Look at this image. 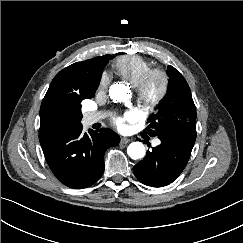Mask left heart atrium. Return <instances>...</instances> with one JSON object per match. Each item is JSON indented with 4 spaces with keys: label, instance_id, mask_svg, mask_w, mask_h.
I'll return each instance as SVG.
<instances>
[{
    "label": "left heart atrium",
    "instance_id": "obj_1",
    "mask_svg": "<svg viewBox=\"0 0 243 243\" xmlns=\"http://www.w3.org/2000/svg\"><path fill=\"white\" fill-rule=\"evenodd\" d=\"M135 113L134 112H126L123 117L117 118L115 120V124L119 129L124 128V121H132L135 119Z\"/></svg>",
    "mask_w": 243,
    "mask_h": 243
}]
</instances>
